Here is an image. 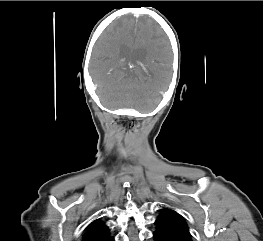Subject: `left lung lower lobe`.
Listing matches in <instances>:
<instances>
[{"label":"left lung lower lobe","mask_w":263,"mask_h":241,"mask_svg":"<svg viewBox=\"0 0 263 241\" xmlns=\"http://www.w3.org/2000/svg\"><path fill=\"white\" fill-rule=\"evenodd\" d=\"M156 231L154 232L155 241H192L191 236L186 235L169 224L156 220Z\"/></svg>","instance_id":"0a47b994"}]
</instances>
